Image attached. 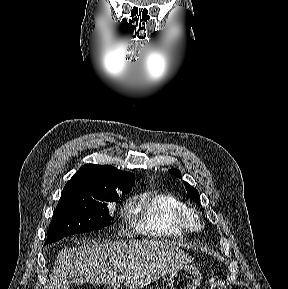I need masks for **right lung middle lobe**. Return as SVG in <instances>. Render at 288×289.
<instances>
[{
	"label": "right lung middle lobe",
	"mask_w": 288,
	"mask_h": 289,
	"mask_svg": "<svg viewBox=\"0 0 288 289\" xmlns=\"http://www.w3.org/2000/svg\"><path fill=\"white\" fill-rule=\"evenodd\" d=\"M119 191H105L93 195L62 193L56 207L45 244H50L65 236L89 232L109 225L108 204L117 202ZM130 190L122 191L129 193Z\"/></svg>",
	"instance_id": "dd1d6c3e"
}]
</instances>
